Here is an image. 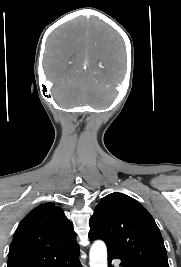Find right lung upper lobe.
Instances as JSON below:
<instances>
[{
  "label": "right lung upper lobe",
  "mask_w": 181,
  "mask_h": 267,
  "mask_svg": "<svg viewBox=\"0 0 181 267\" xmlns=\"http://www.w3.org/2000/svg\"><path fill=\"white\" fill-rule=\"evenodd\" d=\"M79 250L71 222L61 208L44 203L20 222L8 254V267L46 265Z\"/></svg>",
  "instance_id": "obj_1"
}]
</instances>
